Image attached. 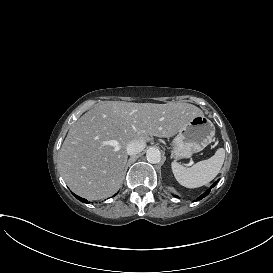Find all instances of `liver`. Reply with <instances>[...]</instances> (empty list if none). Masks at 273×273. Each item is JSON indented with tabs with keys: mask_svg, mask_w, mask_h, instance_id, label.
I'll return each instance as SVG.
<instances>
[{
	"mask_svg": "<svg viewBox=\"0 0 273 273\" xmlns=\"http://www.w3.org/2000/svg\"><path fill=\"white\" fill-rule=\"evenodd\" d=\"M203 111L189 103L108 102L95 106L69 129L60 157L62 176L76 194L89 200L116 193L132 140L171 137Z\"/></svg>",
	"mask_w": 273,
	"mask_h": 273,
	"instance_id": "1",
	"label": "liver"
}]
</instances>
